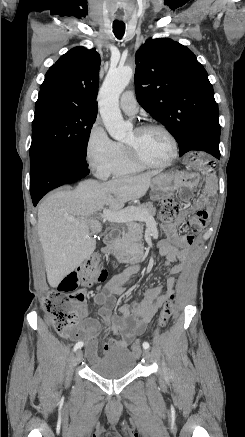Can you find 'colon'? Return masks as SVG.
<instances>
[{"mask_svg":"<svg viewBox=\"0 0 245 437\" xmlns=\"http://www.w3.org/2000/svg\"><path fill=\"white\" fill-rule=\"evenodd\" d=\"M178 204L173 199H165L159 211L160 219L167 223L172 221L177 212ZM107 277V270L102 257L98 254L91 255L79 267L68 273L59 283L56 291L51 292L44 300V308L51 318L55 329L67 336H79L81 328L76 326L79 306L85 301V293L78 290L80 287H91L102 283ZM174 310V295L162 308L156 327L162 328L172 317ZM131 352L135 356L141 354L139 340L131 345Z\"/></svg>","mask_w":245,"mask_h":437,"instance_id":"1","label":"colon"}]
</instances>
